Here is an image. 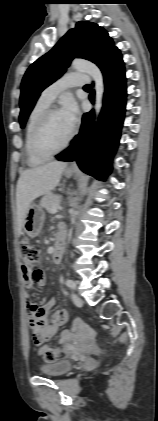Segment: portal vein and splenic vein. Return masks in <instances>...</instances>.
Wrapping results in <instances>:
<instances>
[{
  "mask_svg": "<svg viewBox=\"0 0 158 421\" xmlns=\"http://www.w3.org/2000/svg\"><path fill=\"white\" fill-rule=\"evenodd\" d=\"M57 212V207L52 208L51 213H56Z\"/></svg>",
  "mask_w": 158,
  "mask_h": 421,
  "instance_id": "18ae733b",
  "label": "portal vein and splenic vein"
}]
</instances>
